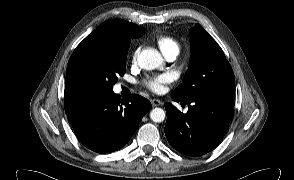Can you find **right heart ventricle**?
<instances>
[{"label": "right heart ventricle", "instance_id": "obj_1", "mask_svg": "<svg viewBox=\"0 0 294 180\" xmlns=\"http://www.w3.org/2000/svg\"><path fill=\"white\" fill-rule=\"evenodd\" d=\"M156 45L161 53L166 56L169 53H179L180 47L172 37L161 36L156 39Z\"/></svg>", "mask_w": 294, "mask_h": 180}]
</instances>
